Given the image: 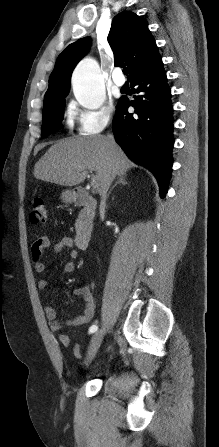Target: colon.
<instances>
[{
    "instance_id": "5ec220e1",
    "label": "colon",
    "mask_w": 219,
    "mask_h": 447,
    "mask_svg": "<svg viewBox=\"0 0 219 447\" xmlns=\"http://www.w3.org/2000/svg\"><path fill=\"white\" fill-rule=\"evenodd\" d=\"M29 219L32 224L44 223L47 220L46 204L43 198L37 197L33 199Z\"/></svg>"
}]
</instances>
